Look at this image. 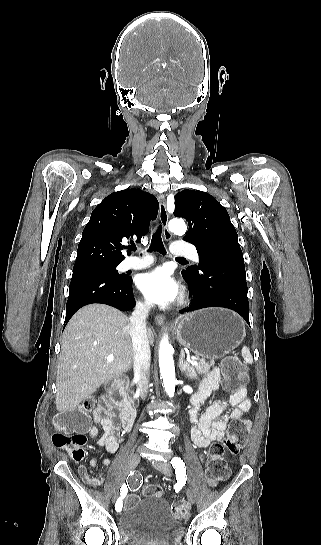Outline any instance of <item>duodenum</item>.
<instances>
[{"label": "duodenum", "mask_w": 321, "mask_h": 545, "mask_svg": "<svg viewBox=\"0 0 321 545\" xmlns=\"http://www.w3.org/2000/svg\"><path fill=\"white\" fill-rule=\"evenodd\" d=\"M108 398L121 412L120 418L123 429L129 431L133 426L136 410L129 402L120 383H112L108 386Z\"/></svg>", "instance_id": "duodenum-1"}]
</instances>
